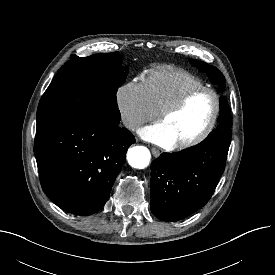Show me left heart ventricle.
Masks as SVG:
<instances>
[{"instance_id":"1","label":"left heart ventricle","mask_w":275,"mask_h":275,"mask_svg":"<svg viewBox=\"0 0 275 275\" xmlns=\"http://www.w3.org/2000/svg\"><path fill=\"white\" fill-rule=\"evenodd\" d=\"M214 100L210 93L200 92L193 96L183 108L164 118L161 122L167 127L176 143L193 138L208 123L213 112Z\"/></svg>"}]
</instances>
